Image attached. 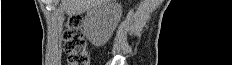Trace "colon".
I'll return each instance as SVG.
<instances>
[{"instance_id":"obj_1","label":"colon","mask_w":232,"mask_h":65,"mask_svg":"<svg viewBox=\"0 0 232 65\" xmlns=\"http://www.w3.org/2000/svg\"><path fill=\"white\" fill-rule=\"evenodd\" d=\"M63 40L64 49L68 56V65H90V55L81 16L74 15L67 20Z\"/></svg>"}]
</instances>
